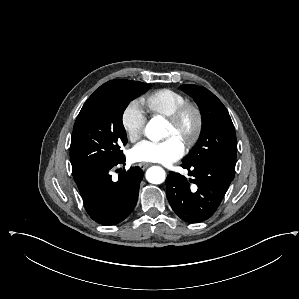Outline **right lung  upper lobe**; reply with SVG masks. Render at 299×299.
I'll use <instances>...</instances> for the list:
<instances>
[{"mask_svg": "<svg viewBox=\"0 0 299 299\" xmlns=\"http://www.w3.org/2000/svg\"><path fill=\"white\" fill-rule=\"evenodd\" d=\"M130 82H134V81H130V80H112L109 81L105 84H103L102 86H100L90 97H93L94 95L98 94L99 92L112 87L114 85H118V84H123V83H130Z\"/></svg>", "mask_w": 299, "mask_h": 299, "instance_id": "right-lung-upper-lobe-1", "label": "right lung upper lobe"}]
</instances>
